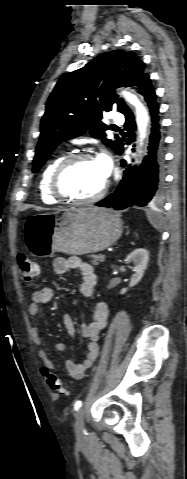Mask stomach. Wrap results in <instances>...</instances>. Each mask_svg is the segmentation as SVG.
Returning <instances> with one entry per match:
<instances>
[{
    "instance_id": "0dacf381",
    "label": "stomach",
    "mask_w": 187,
    "mask_h": 479,
    "mask_svg": "<svg viewBox=\"0 0 187 479\" xmlns=\"http://www.w3.org/2000/svg\"><path fill=\"white\" fill-rule=\"evenodd\" d=\"M121 234V219L109 209L93 206L33 214L24 224L27 248L36 257L99 252Z\"/></svg>"
}]
</instances>
